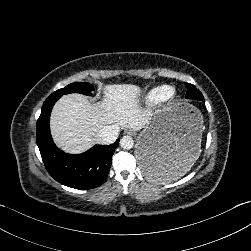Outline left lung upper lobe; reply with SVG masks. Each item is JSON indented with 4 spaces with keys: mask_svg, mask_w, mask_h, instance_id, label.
<instances>
[{
    "mask_svg": "<svg viewBox=\"0 0 251 251\" xmlns=\"http://www.w3.org/2000/svg\"><path fill=\"white\" fill-rule=\"evenodd\" d=\"M185 85L188 89L186 93V98L204 101L202 93L198 89H196L194 85L190 83H186Z\"/></svg>",
    "mask_w": 251,
    "mask_h": 251,
    "instance_id": "1",
    "label": "left lung upper lobe"
}]
</instances>
